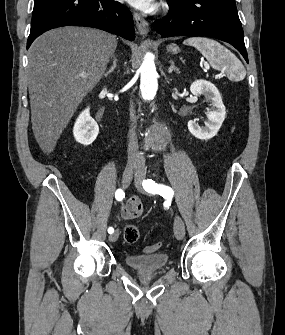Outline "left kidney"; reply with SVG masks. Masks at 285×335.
<instances>
[{
  "label": "left kidney",
  "instance_id": "obj_1",
  "mask_svg": "<svg viewBox=\"0 0 285 335\" xmlns=\"http://www.w3.org/2000/svg\"><path fill=\"white\" fill-rule=\"evenodd\" d=\"M190 92L193 96H206L211 100V110L207 108V122H205V128H200L195 122H188V130L192 136L199 138V140H210L216 136L219 128H221L225 120V106L222 102V98L214 84L207 82V80H195L190 86Z\"/></svg>",
  "mask_w": 285,
  "mask_h": 335
}]
</instances>
